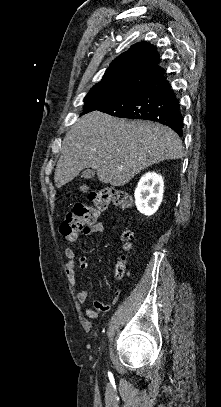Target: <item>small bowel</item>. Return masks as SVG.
Returning <instances> with one entry per match:
<instances>
[{"label":"small bowel","instance_id":"c3829d8e","mask_svg":"<svg viewBox=\"0 0 221 407\" xmlns=\"http://www.w3.org/2000/svg\"><path fill=\"white\" fill-rule=\"evenodd\" d=\"M103 231H104L103 226L99 225L96 233H102ZM65 241L67 243H73L74 239L66 237ZM84 244L86 246L90 247V245L87 241H84ZM64 255L67 258V262L64 267L67 281L70 284V286L75 287L77 285L76 274H75V267H76L75 251L72 248L67 247L64 249ZM79 265H80L81 270H83V271L89 270L91 268V265L89 263V257L87 255L81 256L79 259ZM115 278H118V276L116 274H115ZM120 294H121V290L116 289L112 295L111 302L109 304H105L99 299H94L92 302V308L87 311L88 318H95L99 314H105L110 309L111 305L114 304L118 300ZM89 295H90V291L88 289H86V288L80 289L76 293L77 303L80 305L84 304L88 300Z\"/></svg>","mask_w":221,"mask_h":407}]
</instances>
